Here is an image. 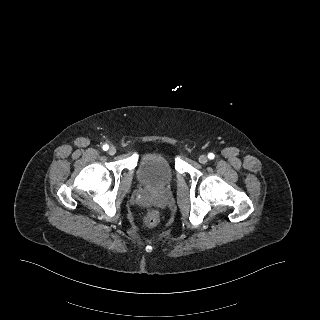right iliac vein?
<instances>
[{
	"label": "right iliac vein",
	"mask_w": 320,
	"mask_h": 320,
	"mask_svg": "<svg viewBox=\"0 0 320 320\" xmlns=\"http://www.w3.org/2000/svg\"><path fill=\"white\" fill-rule=\"evenodd\" d=\"M109 155H114L116 153V148L115 147H110L108 150Z\"/></svg>",
	"instance_id": "1"
}]
</instances>
